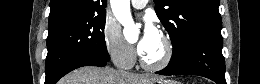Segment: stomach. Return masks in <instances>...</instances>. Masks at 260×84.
Instances as JSON below:
<instances>
[{
  "mask_svg": "<svg viewBox=\"0 0 260 84\" xmlns=\"http://www.w3.org/2000/svg\"><path fill=\"white\" fill-rule=\"evenodd\" d=\"M157 84H179V83L173 80H163V81H158Z\"/></svg>",
  "mask_w": 260,
  "mask_h": 84,
  "instance_id": "stomach-1",
  "label": "stomach"
}]
</instances>
